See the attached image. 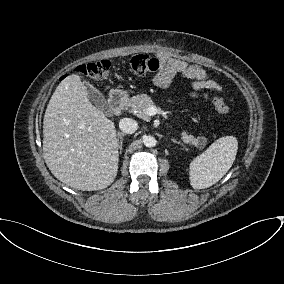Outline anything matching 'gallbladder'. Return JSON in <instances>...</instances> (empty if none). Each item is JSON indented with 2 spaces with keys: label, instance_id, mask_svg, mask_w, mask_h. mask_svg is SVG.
Masks as SVG:
<instances>
[{
  "label": "gallbladder",
  "instance_id": "bac80fb5",
  "mask_svg": "<svg viewBox=\"0 0 284 284\" xmlns=\"http://www.w3.org/2000/svg\"><path fill=\"white\" fill-rule=\"evenodd\" d=\"M85 85L87 88L88 97L92 103L103 113L109 115L111 111L104 95L89 83H86Z\"/></svg>",
  "mask_w": 284,
  "mask_h": 284
}]
</instances>
